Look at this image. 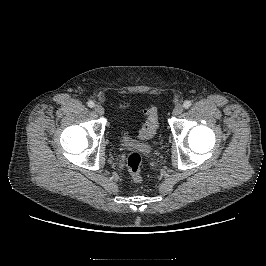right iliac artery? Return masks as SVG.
Returning a JSON list of instances; mask_svg holds the SVG:
<instances>
[{"label":"right iliac artery","mask_w":266,"mask_h":266,"mask_svg":"<svg viewBox=\"0 0 266 266\" xmlns=\"http://www.w3.org/2000/svg\"><path fill=\"white\" fill-rule=\"evenodd\" d=\"M88 106L92 108V107H94V106H95V104H94V102H93V101H88Z\"/></svg>","instance_id":"82829eb1"}]
</instances>
